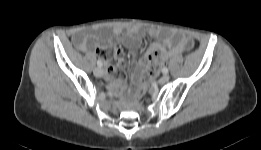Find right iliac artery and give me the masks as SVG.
<instances>
[{"mask_svg":"<svg viewBox=\"0 0 261 150\" xmlns=\"http://www.w3.org/2000/svg\"><path fill=\"white\" fill-rule=\"evenodd\" d=\"M97 65L98 67H101L102 66V62L100 60L97 61Z\"/></svg>","mask_w":261,"mask_h":150,"instance_id":"1","label":"right iliac artery"}]
</instances>
